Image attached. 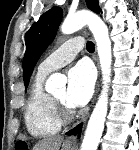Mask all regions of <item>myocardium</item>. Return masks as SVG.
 <instances>
[{"label":"myocardium","instance_id":"obj_1","mask_svg":"<svg viewBox=\"0 0 139 150\" xmlns=\"http://www.w3.org/2000/svg\"><path fill=\"white\" fill-rule=\"evenodd\" d=\"M50 100L52 103V107H53V111H54L56 119L61 124L69 123L73 119V115H74L73 110L66 104L54 98L53 96H50Z\"/></svg>","mask_w":139,"mask_h":150}]
</instances>
